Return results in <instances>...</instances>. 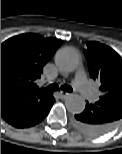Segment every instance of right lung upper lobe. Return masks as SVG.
I'll return each mask as SVG.
<instances>
[{
    "mask_svg": "<svg viewBox=\"0 0 122 154\" xmlns=\"http://www.w3.org/2000/svg\"><path fill=\"white\" fill-rule=\"evenodd\" d=\"M62 40L28 33L1 44V117L9 124L40 109L52 93L38 89L43 66Z\"/></svg>",
    "mask_w": 122,
    "mask_h": 154,
    "instance_id": "1",
    "label": "right lung upper lobe"
}]
</instances>
